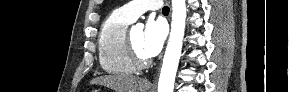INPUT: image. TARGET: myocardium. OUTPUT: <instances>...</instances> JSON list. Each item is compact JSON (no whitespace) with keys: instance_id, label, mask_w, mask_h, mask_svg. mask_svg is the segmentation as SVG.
Returning <instances> with one entry per match:
<instances>
[{"instance_id":"1","label":"myocardium","mask_w":289,"mask_h":92,"mask_svg":"<svg viewBox=\"0 0 289 92\" xmlns=\"http://www.w3.org/2000/svg\"><path fill=\"white\" fill-rule=\"evenodd\" d=\"M125 50H126L128 59L130 60V62L136 69H144V68H147L151 64L150 58H143L136 51L133 45L132 39H131L130 32H126Z\"/></svg>"}]
</instances>
